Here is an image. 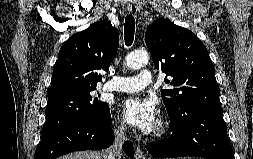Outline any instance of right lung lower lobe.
I'll return each instance as SVG.
<instances>
[{
	"instance_id": "obj_1",
	"label": "right lung lower lobe",
	"mask_w": 253,
	"mask_h": 159,
	"mask_svg": "<svg viewBox=\"0 0 253 159\" xmlns=\"http://www.w3.org/2000/svg\"><path fill=\"white\" fill-rule=\"evenodd\" d=\"M110 111L102 121L83 119L69 123L41 137L34 159H55L61 155L88 149H105L114 141ZM124 152L134 156L133 145L126 141Z\"/></svg>"
}]
</instances>
